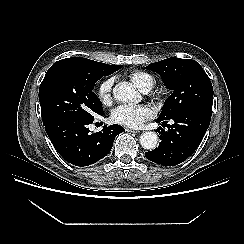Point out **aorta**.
<instances>
[{
	"instance_id": "obj_1",
	"label": "aorta",
	"mask_w": 244,
	"mask_h": 244,
	"mask_svg": "<svg viewBox=\"0 0 244 244\" xmlns=\"http://www.w3.org/2000/svg\"><path fill=\"white\" fill-rule=\"evenodd\" d=\"M113 96L123 103H138L141 100L139 92L127 82H120L113 88ZM140 144L144 149L153 150L158 145V136L153 131L141 134Z\"/></svg>"
}]
</instances>
